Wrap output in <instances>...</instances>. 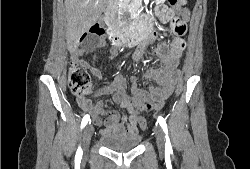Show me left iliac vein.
Listing matches in <instances>:
<instances>
[{
  "label": "left iliac vein",
  "instance_id": "1",
  "mask_svg": "<svg viewBox=\"0 0 250 169\" xmlns=\"http://www.w3.org/2000/svg\"><path fill=\"white\" fill-rule=\"evenodd\" d=\"M155 135H156V141H157V147L160 151L164 150L165 147V137L163 130L161 128L155 129Z\"/></svg>",
  "mask_w": 250,
  "mask_h": 169
}]
</instances>
